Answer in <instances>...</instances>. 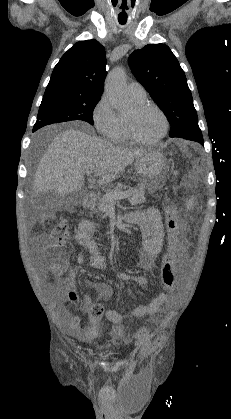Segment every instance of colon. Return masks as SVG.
Returning <instances> with one entry per match:
<instances>
[{"label":"colon","mask_w":231,"mask_h":419,"mask_svg":"<svg viewBox=\"0 0 231 419\" xmlns=\"http://www.w3.org/2000/svg\"><path fill=\"white\" fill-rule=\"evenodd\" d=\"M178 210L171 206L166 211L165 223L168 231V243L164 248L165 253L161 256L160 275L159 280L167 295L164 297L166 304L173 302L172 294L177 292L178 280L175 275L176 259L178 257ZM67 221H59L52 229L51 235L53 241L45 248L44 256L47 262L56 267L57 273H66L70 270L68 258L72 249L71 243L67 240L68 235ZM104 313V307L95 303L91 309L90 314L94 318H100ZM136 337L143 347L151 345L149 334L146 329H139L136 331ZM113 335L117 341L124 340L126 335L119 325L113 327ZM160 338H157L152 345H159Z\"/></svg>","instance_id":"colon-1"}]
</instances>
